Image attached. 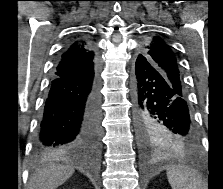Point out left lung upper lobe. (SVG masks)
I'll return each mask as SVG.
<instances>
[{
	"label": "left lung upper lobe",
	"instance_id": "obj_1",
	"mask_svg": "<svg viewBox=\"0 0 223 189\" xmlns=\"http://www.w3.org/2000/svg\"><path fill=\"white\" fill-rule=\"evenodd\" d=\"M137 60H143L157 68L170 82L176 84L185 93L176 56L163 39L157 36L148 39L142 45ZM139 135L145 145L161 148H190L182 145L173 134L158 125L149 126L140 131Z\"/></svg>",
	"mask_w": 223,
	"mask_h": 189
}]
</instances>
